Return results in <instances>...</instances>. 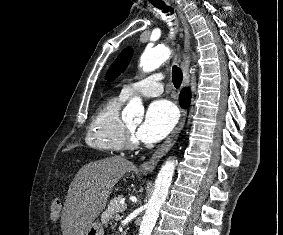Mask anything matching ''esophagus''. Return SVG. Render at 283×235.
Wrapping results in <instances>:
<instances>
[{
    "label": "esophagus",
    "mask_w": 283,
    "mask_h": 235,
    "mask_svg": "<svg viewBox=\"0 0 283 235\" xmlns=\"http://www.w3.org/2000/svg\"><path fill=\"white\" fill-rule=\"evenodd\" d=\"M175 9L180 17L182 26H183V31H184V51L185 54L190 53V48H191V34L189 30V26L186 22L185 16L180 9L178 5L175 6ZM189 66H190V61L189 59L186 58V55H184V60L181 63V68L183 71V86H187L189 84L190 80V73H189ZM187 117V111L182 110V116L181 120L178 123L177 127L173 130V132L170 134V136L156 149V151L153 153L149 161H146L142 163L139 166V172L142 174H148L150 173L159 159L163 157L174 145L179 133L181 132L182 128L184 127L185 121Z\"/></svg>",
    "instance_id": "34e87169"
}]
</instances>
